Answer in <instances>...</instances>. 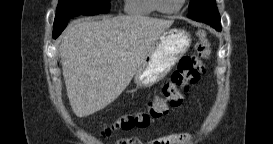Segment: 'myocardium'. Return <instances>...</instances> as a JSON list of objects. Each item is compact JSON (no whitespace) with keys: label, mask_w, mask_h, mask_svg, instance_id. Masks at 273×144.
I'll use <instances>...</instances> for the list:
<instances>
[{"label":"myocardium","mask_w":273,"mask_h":144,"mask_svg":"<svg viewBox=\"0 0 273 144\" xmlns=\"http://www.w3.org/2000/svg\"><path fill=\"white\" fill-rule=\"evenodd\" d=\"M153 2V7L155 8L156 11L163 13V14H174L178 12L182 5L184 4L185 0H180L178 6L174 9H165L162 7L161 0H152Z\"/></svg>","instance_id":"1"}]
</instances>
